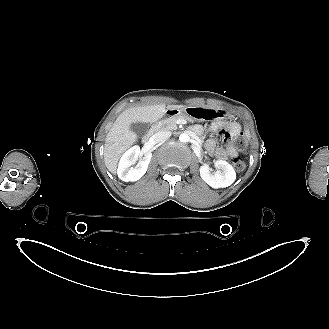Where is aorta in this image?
Instances as JSON below:
<instances>
[{"instance_id": "aorta-1", "label": "aorta", "mask_w": 329, "mask_h": 329, "mask_svg": "<svg viewBox=\"0 0 329 329\" xmlns=\"http://www.w3.org/2000/svg\"><path fill=\"white\" fill-rule=\"evenodd\" d=\"M179 140H180V142L186 143L190 140V136L187 133H182L179 136Z\"/></svg>"}]
</instances>
